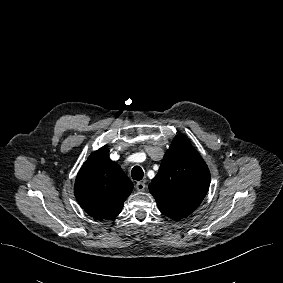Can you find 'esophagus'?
I'll use <instances>...</instances> for the list:
<instances>
[{
    "label": "esophagus",
    "instance_id": "34e87169",
    "mask_svg": "<svg viewBox=\"0 0 283 283\" xmlns=\"http://www.w3.org/2000/svg\"><path fill=\"white\" fill-rule=\"evenodd\" d=\"M145 188H146V185H145V183H143V182H137L136 183V189H137V191H144L145 190Z\"/></svg>",
    "mask_w": 283,
    "mask_h": 283
}]
</instances>
